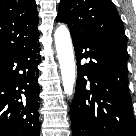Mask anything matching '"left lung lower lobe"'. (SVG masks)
I'll use <instances>...</instances> for the list:
<instances>
[{
    "mask_svg": "<svg viewBox=\"0 0 136 136\" xmlns=\"http://www.w3.org/2000/svg\"><path fill=\"white\" fill-rule=\"evenodd\" d=\"M77 60L76 92L70 108L73 136H135L128 91L127 54L117 46L72 36ZM83 58L89 62L81 65Z\"/></svg>",
    "mask_w": 136,
    "mask_h": 136,
    "instance_id": "obj_1",
    "label": "left lung lower lobe"
}]
</instances>
